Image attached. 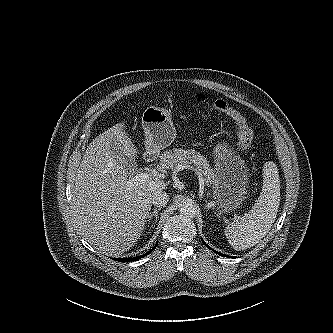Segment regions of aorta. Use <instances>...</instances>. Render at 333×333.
<instances>
[{
    "label": "aorta",
    "mask_w": 333,
    "mask_h": 333,
    "mask_svg": "<svg viewBox=\"0 0 333 333\" xmlns=\"http://www.w3.org/2000/svg\"><path fill=\"white\" fill-rule=\"evenodd\" d=\"M179 211L186 218H194L197 214V206L192 202H184L180 206Z\"/></svg>",
    "instance_id": "1"
}]
</instances>
